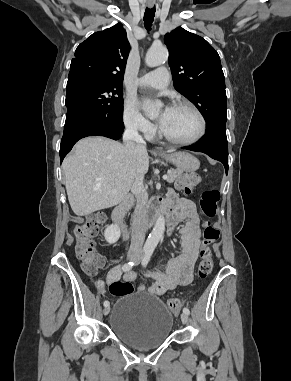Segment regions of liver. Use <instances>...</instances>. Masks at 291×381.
<instances>
[{"label":"liver","instance_id":"obj_1","mask_svg":"<svg viewBox=\"0 0 291 381\" xmlns=\"http://www.w3.org/2000/svg\"><path fill=\"white\" fill-rule=\"evenodd\" d=\"M62 168L70 206L77 216H86L121 203L135 179L147 173L149 156L133 141L87 137L76 143Z\"/></svg>","mask_w":291,"mask_h":381}]
</instances>
